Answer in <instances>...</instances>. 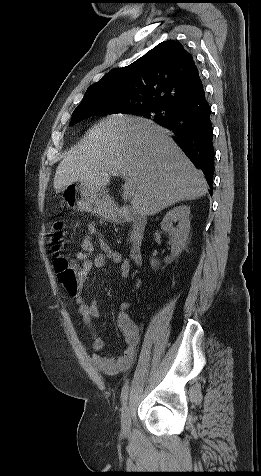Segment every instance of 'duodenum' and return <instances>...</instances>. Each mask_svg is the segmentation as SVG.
I'll return each mask as SVG.
<instances>
[{
	"label": "duodenum",
	"mask_w": 261,
	"mask_h": 476,
	"mask_svg": "<svg viewBox=\"0 0 261 476\" xmlns=\"http://www.w3.org/2000/svg\"><path fill=\"white\" fill-rule=\"evenodd\" d=\"M112 218L115 222L132 223L134 233L130 247V257L134 263L141 264L143 261V242L147 219L143 215L125 208L117 209L113 213Z\"/></svg>",
	"instance_id": "duodenum-1"
}]
</instances>
